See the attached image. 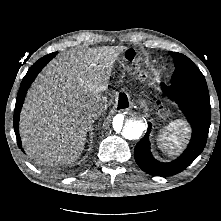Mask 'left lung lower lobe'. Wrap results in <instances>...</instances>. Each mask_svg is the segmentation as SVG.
Listing matches in <instances>:
<instances>
[{
	"label": "left lung lower lobe",
	"mask_w": 221,
	"mask_h": 221,
	"mask_svg": "<svg viewBox=\"0 0 221 221\" xmlns=\"http://www.w3.org/2000/svg\"><path fill=\"white\" fill-rule=\"evenodd\" d=\"M163 94L175 101L192 127V137L187 149L170 163H161L150 152L149 134L151 123L145 136L137 143L134 157L138 166L154 176H171L186 169L203 151L210 127L211 107L209 93L204 78L171 83H161Z\"/></svg>",
	"instance_id": "left-lung-lower-lobe-1"
}]
</instances>
